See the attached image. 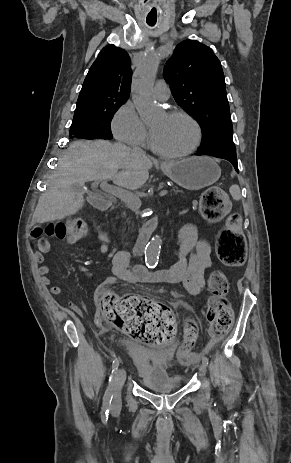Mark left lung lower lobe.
Returning a JSON list of instances; mask_svg holds the SVG:
<instances>
[{"mask_svg":"<svg viewBox=\"0 0 291 463\" xmlns=\"http://www.w3.org/2000/svg\"><path fill=\"white\" fill-rule=\"evenodd\" d=\"M195 155H198V156H201V155H210V156H214V157H217V158H222V159H226L228 160L229 162L232 163V165L234 166L235 170L237 172L238 171V164H237V157H236V154H233V153H220V152H212V151H201V150H198Z\"/></svg>","mask_w":291,"mask_h":463,"instance_id":"0a47b994","label":"left lung lower lobe"}]
</instances>
